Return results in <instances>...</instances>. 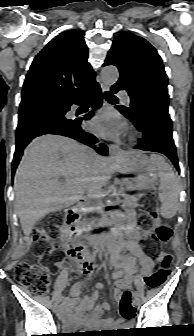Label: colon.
<instances>
[{
    "instance_id": "5ec220e1",
    "label": "colon",
    "mask_w": 194,
    "mask_h": 336,
    "mask_svg": "<svg viewBox=\"0 0 194 336\" xmlns=\"http://www.w3.org/2000/svg\"><path fill=\"white\" fill-rule=\"evenodd\" d=\"M60 221L61 214L47 216L38 224L33 236L36 254L42 257L50 256L55 263H58L62 257L56 244ZM141 223L149 227L143 238V245L149 255L160 262L155 272L145 276L146 285L156 288L167 278L173 263L172 255L162 249V245L170 240L172 231L169 226L160 222L156 205L150 200L143 203ZM14 277L31 292L45 294L48 291L49 273L45 266L20 262L14 269ZM123 298L129 299V292H126Z\"/></svg>"
}]
</instances>
